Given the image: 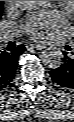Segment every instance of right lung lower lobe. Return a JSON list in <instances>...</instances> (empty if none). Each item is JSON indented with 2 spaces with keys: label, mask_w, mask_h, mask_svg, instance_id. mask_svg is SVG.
Segmentation results:
<instances>
[{
  "label": "right lung lower lobe",
  "mask_w": 74,
  "mask_h": 122,
  "mask_svg": "<svg viewBox=\"0 0 74 122\" xmlns=\"http://www.w3.org/2000/svg\"><path fill=\"white\" fill-rule=\"evenodd\" d=\"M25 50V47L22 45H19L11 52L0 50V90L11 85L18 65L19 56Z\"/></svg>",
  "instance_id": "1"
}]
</instances>
